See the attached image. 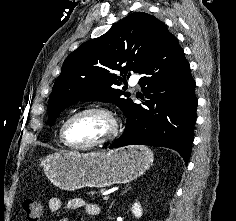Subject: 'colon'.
<instances>
[{"label":"colon","instance_id":"5ec220e1","mask_svg":"<svg viewBox=\"0 0 236 221\" xmlns=\"http://www.w3.org/2000/svg\"><path fill=\"white\" fill-rule=\"evenodd\" d=\"M23 209L28 221H39L44 212V205L38 199L28 198L23 202Z\"/></svg>","mask_w":236,"mask_h":221}]
</instances>
